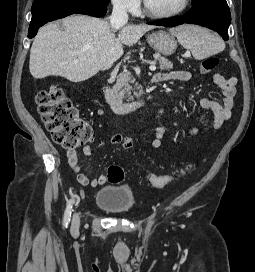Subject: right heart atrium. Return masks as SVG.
I'll list each match as a JSON object with an SVG mask.
<instances>
[{"label":"right heart atrium","mask_w":255,"mask_h":272,"mask_svg":"<svg viewBox=\"0 0 255 272\" xmlns=\"http://www.w3.org/2000/svg\"><path fill=\"white\" fill-rule=\"evenodd\" d=\"M111 3L115 10L127 14H135L140 7L139 0H111Z\"/></svg>","instance_id":"d8ad5b80"}]
</instances>
